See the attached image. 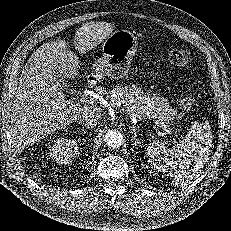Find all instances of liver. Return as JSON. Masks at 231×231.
Returning a JSON list of instances; mask_svg holds the SVG:
<instances>
[{"label": "liver", "mask_w": 231, "mask_h": 231, "mask_svg": "<svg viewBox=\"0 0 231 231\" xmlns=\"http://www.w3.org/2000/svg\"><path fill=\"white\" fill-rule=\"evenodd\" d=\"M107 22L83 24L77 31L74 45L84 54L106 39L114 30ZM79 60L68 49L65 40L41 45L28 59L19 79L11 108L9 127L16 152L38 142L57 129L66 127L86 113L101 117L96 105H80L68 101L60 91L55 72L69 79L78 75Z\"/></svg>", "instance_id": "liver-1"}]
</instances>
